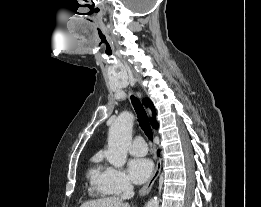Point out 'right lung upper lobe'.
Listing matches in <instances>:
<instances>
[{
    "instance_id": "1",
    "label": "right lung upper lobe",
    "mask_w": 261,
    "mask_h": 207,
    "mask_svg": "<svg viewBox=\"0 0 261 207\" xmlns=\"http://www.w3.org/2000/svg\"><path fill=\"white\" fill-rule=\"evenodd\" d=\"M143 103L146 106H148L151 109V111L153 112L154 118L151 119V124H152L153 128H157L158 123L155 121L156 111H155L154 105L152 104V102L149 99H144Z\"/></svg>"
}]
</instances>
